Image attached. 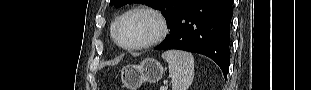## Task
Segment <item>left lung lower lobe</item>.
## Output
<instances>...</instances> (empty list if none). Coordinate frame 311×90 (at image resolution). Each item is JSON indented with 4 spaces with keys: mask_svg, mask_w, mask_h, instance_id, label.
I'll list each match as a JSON object with an SVG mask.
<instances>
[{
    "mask_svg": "<svg viewBox=\"0 0 311 90\" xmlns=\"http://www.w3.org/2000/svg\"><path fill=\"white\" fill-rule=\"evenodd\" d=\"M232 0H194L179 15L168 38L155 50L179 49L214 60L227 77Z\"/></svg>",
    "mask_w": 311,
    "mask_h": 90,
    "instance_id": "1",
    "label": "left lung lower lobe"
}]
</instances>
